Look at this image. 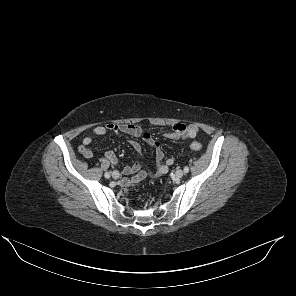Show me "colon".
Returning <instances> with one entry per match:
<instances>
[{
  "instance_id": "1",
  "label": "colon",
  "mask_w": 296,
  "mask_h": 296,
  "mask_svg": "<svg viewBox=\"0 0 296 296\" xmlns=\"http://www.w3.org/2000/svg\"><path fill=\"white\" fill-rule=\"evenodd\" d=\"M190 147L194 151H200L202 149V145L199 142H192ZM126 187L127 186H125L124 190H126Z\"/></svg>"
}]
</instances>
